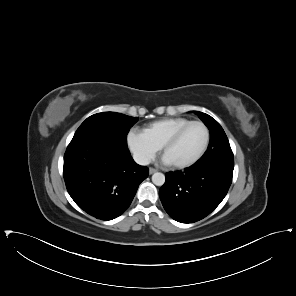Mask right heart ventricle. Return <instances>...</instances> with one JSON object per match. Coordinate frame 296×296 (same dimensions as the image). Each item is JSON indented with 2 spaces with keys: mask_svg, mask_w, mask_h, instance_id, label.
<instances>
[{
  "mask_svg": "<svg viewBox=\"0 0 296 296\" xmlns=\"http://www.w3.org/2000/svg\"><path fill=\"white\" fill-rule=\"evenodd\" d=\"M190 122L186 118H167L156 121L144 129V134L159 148L179 128Z\"/></svg>",
  "mask_w": 296,
  "mask_h": 296,
  "instance_id": "obj_1",
  "label": "right heart ventricle"
}]
</instances>
